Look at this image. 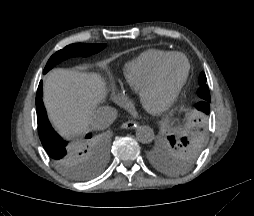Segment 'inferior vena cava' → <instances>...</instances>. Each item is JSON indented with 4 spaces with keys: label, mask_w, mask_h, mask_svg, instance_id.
I'll list each match as a JSON object with an SVG mask.
<instances>
[{
    "label": "inferior vena cava",
    "mask_w": 254,
    "mask_h": 216,
    "mask_svg": "<svg viewBox=\"0 0 254 216\" xmlns=\"http://www.w3.org/2000/svg\"><path fill=\"white\" fill-rule=\"evenodd\" d=\"M118 112L110 106H101L93 111L89 118V125L95 130H104L117 118Z\"/></svg>",
    "instance_id": "1"
}]
</instances>
